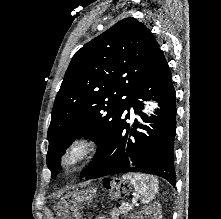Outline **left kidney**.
Segmentation results:
<instances>
[{
    "label": "left kidney",
    "mask_w": 221,
    "mask_h": 219,
    "mask_svg": "<svg viewBox=\"0 0 221 219\" xmlns=\"http://www.w3.org/2000/svg\"><path fill=\"white\" fill-rule=\"evenodd\" d=\"M162 219L161 208L159 203L148 206L144 210L133 215L132 219Z\"/></svg>",
    "instance_id": "1"
}]
</instances>
